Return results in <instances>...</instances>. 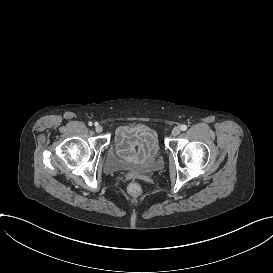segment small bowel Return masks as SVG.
Masks as SVG:
<instances>
[{
	"label": "small bowel",
	"mask_w": 273,
	"mask_h": 273,
	"mask_svg": "<svg viewBox=\"0 0 273 273\" xmlns=\"http://www.w3.org/2000/svg\"><path fill=\"white\" fill-rule=\"evenodd\" d=\"M116 152L127 158L129 147L138 146L137 154L130 157L133 163L149 160L155 161L158 155V146L153 132L141 124L125 125L118 129Z\"/></svg>",
	"instance_id": "obj_1"
}]
</instances>
